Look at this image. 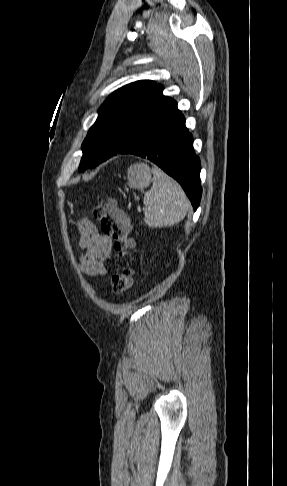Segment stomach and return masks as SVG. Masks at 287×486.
<instances>
[{"instance_id": "obj_1", "label": "stomach", "mask_w": 287, "mask_h": 486, "mask_svg": "<svg viewBox=\"0 0 287 486\" xmlns=\"http://www.w3.org/2000/svg\"><path fill=\"white\" fill-rule=\"evenodd\" d=\"M128 186L133 189H144L151 182V172L148 165L137 163L131 165L127 170Z\"/></svg>"}]
</instances>
